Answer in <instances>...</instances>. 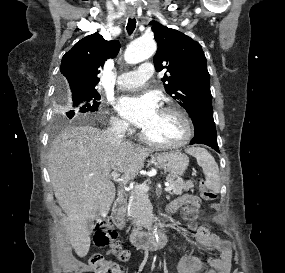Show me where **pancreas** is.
Here are the masks:
<instances>
[{
    "instance_id": "obj_1",
    "label": "pancreas",
    "mask_w": 285,
    "mask_h": 273,
    "mask_svg": "<svg viewBox=\"0 0 285 273\" xmlns=\"http://www.w3.org/2000/svg\"><path fill=\"white\" fill-rule=\"evenodd\" d=\"M167 181L172 185V192H170L172 195H180L183 191H188L194 187L192 181L185 182L175 177H168ZM150 209L151 205L148 194L135 187L131 194L128 215L134 219L137 227L146 226V219L148 218Z\"/></svg>"
}]
</instances>
